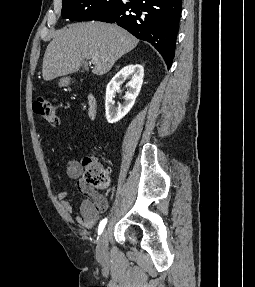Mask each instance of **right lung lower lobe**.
I'll list each match as a JSON object with an SVG mask.
<instances>
[{"label":"right lung lower lobe","mask_w":255,"mask_h":287,"mask_svg":"<svg viewBox=\"0 0 255 287\" xmlns=\"http://www.w3.org/2000/svg\"><path fill=\"white\" fill-rule=\"evenodd\" d=\"M182 0H129L120 2L98 21L115 23L138 39L151 43L169 69L175 54Z\"/></svg>","instance_id":"1"}]
</instances>
